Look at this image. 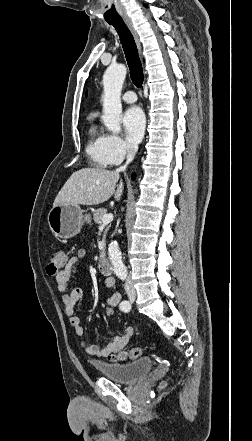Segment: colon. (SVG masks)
I'll list each match as a JSON object with an SVG mask.
<instances>
[{
    "mask_svg": "<svg viewBox=\"0 0 252 441\" xmlns=\"http://www.w3.org/2000/svg\"><path fill=\"white\" fill-rule=\"evenodd\" d=\"M68 264V255L63 250H56L52 253L50 262L48 263L46 269L47 273L50 275H55L62 271ZM115 308L112 305H105L103 309V316L106 318H111L115 314ZM140 355V349L137 347L129 348L125 351L116 352L111 354L108 358L113 361H125L128 359H135Z\"/></svg>",
    "mask_w": 252,
    "mask_h": 441,
    "instance_id": "1",
    "label": "colon"
}]
</instances>
